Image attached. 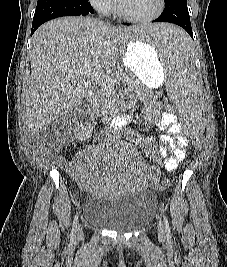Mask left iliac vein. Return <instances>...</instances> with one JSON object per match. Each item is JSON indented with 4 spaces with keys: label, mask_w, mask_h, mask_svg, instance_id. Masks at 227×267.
<instances>
[{
    "label": "left iliac vein",
    "mask_w": 227,
    "mask_h": 267,
    "mask_svg": "<svg viewBox=\"0 0 227 267\" xmlns=\"http://www.w3.org/2000/svg\"><path fill=\"white\" fill-rule=\"evenodd\" d=\"M158 233L162 237L165 235V229L161 221H159V224H158Z\"/></svg>",
    "instance_id": "1"
}]
</instances>
